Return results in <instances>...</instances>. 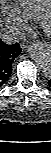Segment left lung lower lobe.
I'll use <instances>...</instances> for the list:
<instances>
[{
  "label": "left lung lower lobe",
  "mask_w": 51,
  "mask_h": 153,
  "mask_svg": "<svg viewBox=\"0 0 51 153\" xmlns=\"http://www.w3.org/2000/svg\"><path fill=\"white\" fill-rule=\"evenodd\" d=\"M48 84H49V85H50V87H51V80H49V81H48Z\"/></svg>",
  "instance_id": "obj_1"
}]
</instances>
